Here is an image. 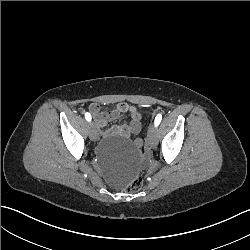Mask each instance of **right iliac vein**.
Listing matches in <instances>:
<instances>
[{
    "instance_id": "right-iliac-vein-1",
    "label": "right iliac vein",
    "mask_w": 250,
    "mask_h": 250,
    "mask_svg": "<svg viewBox=\"0 0 250 250\" xmlns=\"http://www.w3.org/2000/svg\"><path fill=\"white\" fill-rule=\"evenodd\" d=\"M89 137L92 141L97 140V126L94 122L88 124Z\"/></svg>"
}]
</instances>
